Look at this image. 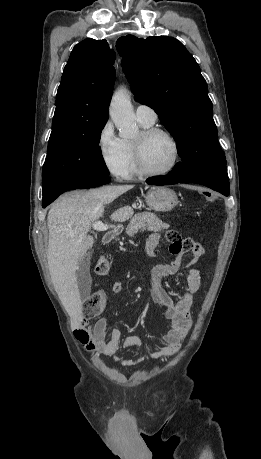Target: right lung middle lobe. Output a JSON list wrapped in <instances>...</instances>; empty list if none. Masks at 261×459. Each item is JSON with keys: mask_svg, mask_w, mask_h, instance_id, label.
<instances>
[{"mask_svg": "<svg viewBox=\"0 0 261 459\" xmlns=\"http://www.w3.org/2000/svg\"><path fill=\"white\" fill-rule=\"evenodd\" d=\"M105 124L81 132L50 136L42 170L43 198L68 183L109 176L99 148Z\"/></svg>", "mask_w": 261, "mask_h": 459, "instance_id": "dd1d6c3e", "label": "right lung middle lobe"}]
</instances>
